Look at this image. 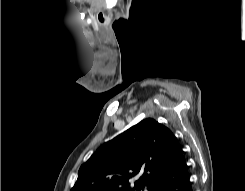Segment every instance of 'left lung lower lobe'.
Instances as JSON below:
<instances>
[{"mask_svg": "<svg viewBox=\"0 0 245 191\" xmlns=\"http://www.w3.org/2000/svg\"><path fill=\"white\" fill-rule=\"evenodd\" d=\"M152 191H193L188 165L182 151Z\"/></svg>", "mask_w": 245, "mask_h": 191, "instance_id": "0a47b994", "label": "left lung lower lobe"}]
</instances>
